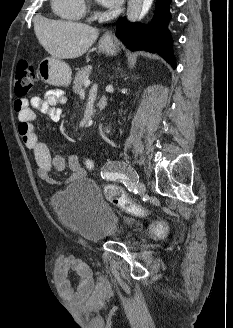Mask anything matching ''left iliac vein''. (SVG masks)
<instances>
[{"label": "left iliac vein", "instance_id": "obj_1", "mask_svg": "<svg viewBox=\"0 0 233 328\" xmlns=\"http://www.w3.org/2000/svg\"><path fill=\"white\" fill-rule=\"evenodd\" d=\"M123 170L124 173L128 176L130 183L137 188L139 194H144L146 188L145 185L139 180L137 172L128 166H125Z\"/></svg>", "mask_w": 233, "mask_h": 328}]
</instances>
